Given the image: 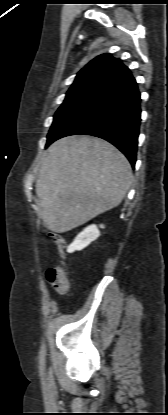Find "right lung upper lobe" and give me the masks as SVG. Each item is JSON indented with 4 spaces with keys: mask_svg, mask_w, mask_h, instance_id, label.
Here are the masks:
<instances>
[{
    "mask_svg": "<svg viewBox=\"0 0 168 415\" xmlns=\"http://www.w3.org/2000/svg\"><path fill=\"white\" fill-rule=\"evenodd\" d=\"M130 73L121 60L110 54H102L81 69L67 94L88 91L102 93Z\"/></svg>",
    "mask_w": 168,
    "mask_h": 415,
    "instance_id": "cb5924a9",
    "label": "right lung upper lobe"
}]
</instances>
